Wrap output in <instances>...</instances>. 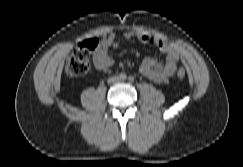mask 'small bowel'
I'll return each instance as SVG.
<instances>
[{
	"instance_id": "obj_1",
	"label": "small bowel",
	"mask_w": 243,
	"mask_h": 167,
	"mask_svg": "<svg viewBox=\"0 0 243 167\" xmlns=\"http://www.w3.org/2000/svg\"><path fill=\"white\" fill-rule=\"evenodd\" d=\"M123 36L125 38L136 36L141 42L155 46L166 55L165 63L151 57L144 59L140 66L142 75L156 83L164 84L175 74L179 55L172 45L144 32H126ZM118 46V36L114 32L109 31L103 35L101 44L94 56V64L97 69L104 71L111 67L113 61L108 55V49L110 47L117 48Z\"/></svg>"
}]
</instances>
